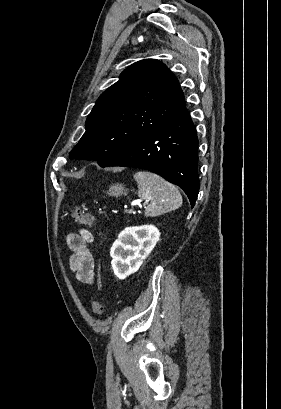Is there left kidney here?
I'll return each instance as SVG.
<instances>
[{"instance_id": "5707ae66", "label": "left kidney", "mask_w": 281, "mask_h": 409, "mask_svg": "<svg viewBox=\"0 0 281 409\" xmlns=\"http://www.w3.org/2000/svg\"><path fill=\"white\" fill-rule=\"evenodd\" d=\"M161 233L154 225L126 227L110 249L112 269L118 279H126L140 269L159 241Z\"/></svg>"}]
</instances>
